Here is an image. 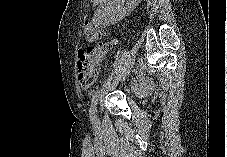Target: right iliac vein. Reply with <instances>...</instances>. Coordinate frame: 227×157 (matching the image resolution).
Wrapping results in <instances>:
<instances>
[{
    "label": "right iliac vein",
    "mask_w": 227,
    "mask_h": 157,
    "mask_svg": "<svg viewBox=\"0 0 227 157\" xmlns=\"http://www.w3.org/2000/svg\"><path fill=\"white\" fill-rule=\"evenodd\" d=\"M132 65H133V61H132V63H130V65H128L127 70L124 73V77L129 73V70H130V68H131Z\"/></svg>",
    "instance_id": "obj_1"
}]
</instances>
